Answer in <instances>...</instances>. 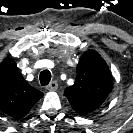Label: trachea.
Returning a JSON list of instances; mask_svg holds the SVG:
<instances>
[{
	"mask_svg": "<svg viewBox=\"0 0 133 133\" xmlns=\"http://www.w3.org/2000/svg\"><path fill=\"white\" fill-rule=\"evenodd\" d=\"M40 83L42 86H46L51 80V73L49 70H43L40 73Z\"/></svg>",
	"mask_w": 133,
	"mask_h": 133,
	"instance_id": "1",
	"label": "trachea"
}]
</instances>
